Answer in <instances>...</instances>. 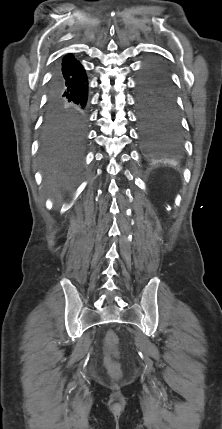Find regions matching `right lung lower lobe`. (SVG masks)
<instances>
[{
    "label": "right lung lower lobe",
    "instance_id": "obj_1",
    "mask_svg": "<svg viewBox=\"0 0 222 429\" xmlns=\"http://www.w3.org/2000/svg\"><path fill=\"white\" fill-rule=\"evenodd\" d=\"M88 80L79 61L66 55L53 71L44 124L66 135H79L86 124Z\"/></svg>",
    "mask_w": 222,
    "mask_h": 429
}]
</instances>
